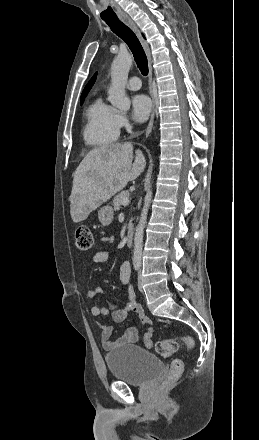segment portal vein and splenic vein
<instances>
[{
  "instance_id": "obj_1",
  "label": "portal vein and splenic vein",
  "mask_w": 259,
  "mask_h": 440,
  "mask_svg": "<svg viewBox=\"0 0 259 440\" xmlns=\"http://www.w3.org/2000/svg\"><path fill=\"white\" fill-rule=\"evenodd\" d=\"M128 203H129V199L128 198H124L122 200V205L126 206V205H128Z\"/></svg>"
}]
</instances>
